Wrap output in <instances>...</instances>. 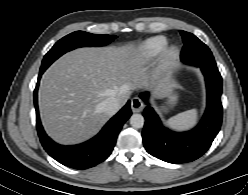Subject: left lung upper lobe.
<instances>
[{"label":"left lung upper lobe","instance_id":"5c2ea615","mask_svg":"<svg viewBox=\"0 0 248 195\" xmlns=\"http://www.w3.org/2000/svg\"><path fill=\"white\" fill-rule=\"evenodd\" d=\"M184 41L181 52V60L197 67L216 65L210 49L200 41L195 35L180 31Z\"/></svg>","mask_w":248,"mask_h":195}]
</instances>
